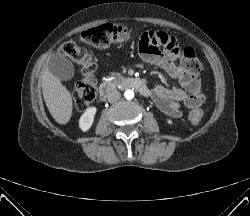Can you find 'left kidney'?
<instances>
[{"label": "left kidney", "mask_w": 250, "mask_h": 216, "mask_svg": "<svg viewBox=\"0 0 250 216\" xmlns=\"http://www.w3.org/2000/svg\"><path fill=\"white\" fill-rule=\"evenodd\" d=\"M166 122L169 124V125H172L173 124V121L171 119H167Z\"/></svg>", "instance_id": "obj_1"}]
</instances>
